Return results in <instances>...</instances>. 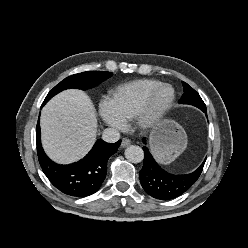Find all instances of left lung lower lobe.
Segmentation results:
<instances>
[{
	"label": "left lung lower lobe",
	"mask_w": 248,
	"mask_h": 248,
	"mask_svg": "<svg viewBox=\"0 0 248 248\" xmlns=\"http://www.w3.org/2000/svg\"><path fill=\"white\" fill-rule=\"evenodd\" d=\"M207 114L206 108L201 109ZM143 142L146 143L145 139ZM145 153L143 168L140 171V182L147 194L160 199L169 200L176 198L187 191L199 178L204 162L190 174L173 175L162 169L154 160L147 147H143Z\"/></svg>",
	"instance_id": "obj_1"
}]
</instances>
